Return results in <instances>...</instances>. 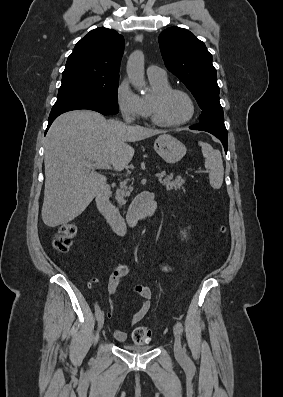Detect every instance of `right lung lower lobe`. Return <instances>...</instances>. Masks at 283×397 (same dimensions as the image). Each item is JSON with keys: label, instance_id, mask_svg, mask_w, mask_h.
I'll list each match as a JSON object with an SVG mask.
<instances>
[{"label": "right lung lower lobe", "instance_id": "98d812e1", "mask_svg": "<svg viewBox=\"0 0 283 397\" xmlns=\"http://www.w3.org/2000/svg\"><path fill=\"white\" fill-rule=\"evenodd\" d=\"M77 109H89V110H94L97 111L103 115H109V113L95 108V107H91V106H86V105H60V106H53L50 115H49V120H48V127L46 129H49V127L51 126L52 122L62 113L67 112V111H71V110H77ZM46 134V133H45Z\"/></svg>", "mask_w": 283, "mask_h": 397}]
</instances>
